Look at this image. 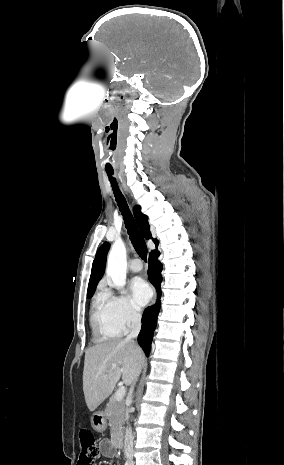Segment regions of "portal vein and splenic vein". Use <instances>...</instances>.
<instances>
[{
	"instance_id": "portal-vein-and-splenic-vein-1",
	"label": "portal vein and splenic vein",
	"mask_w": 284,
	"mask_h": 465,
	"mask_svg": "<svg viewBox=\"0 0 284 465\" xmlns=\"http://www.w3.org/2000/svg\"><path fill=\"white\" fill-rule=\"evenodd\" d=\"M113 369H116V365H115V367H110L109 371H113ZM109 371H106V373H109ZM125 393H126L125 387H123V385H121V387H119L118 391H116V393H115V401H118V403H120V401H122Z\"/></svg>"
}]
</instances>
